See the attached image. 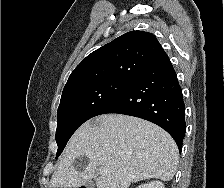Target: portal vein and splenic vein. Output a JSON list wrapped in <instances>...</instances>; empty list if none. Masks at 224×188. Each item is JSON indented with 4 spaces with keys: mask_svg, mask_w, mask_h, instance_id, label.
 <instances>
[{
    "mask_svg": "<svg viewBox=\"0 0 224 188\" xmlns=\"http://www.w3.org/2000/svg\"><path fill=\"white\" fill-rule=\"evenodd\" d=\"M99 172L102 173V174H106L107 173V171L104 170V169H99Z\"/></svg>",
    "mask_w": 224,
    "mask_h": 188,
    "instance_id": "portal-vein-and-splenic-vein-1",
    "label": "portal vein and splenic vein"
}]
</instances>
